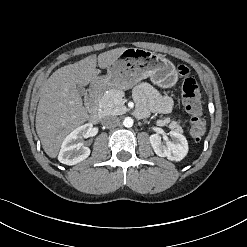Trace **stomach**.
Listing matches in <instances>:
<instances>
[{
  "mask_svg": "<svg viewBox=\"0 0 247 247\" xmlns=\"http://www.w3.org/2000/svg\"><path fill=\"white\" fill-rule=\"evenodd\" d=\"M148 77L162 88L174 86L178 79L175 67L168 59L145 49L127 48L107 68V74L96 77L93 82L126 90Z\"/></svg>",
  "mask_w": 247,
  "mask_h": 247,
  "instance_id": "1",
  "label": "stomach"
}]
</instances>
